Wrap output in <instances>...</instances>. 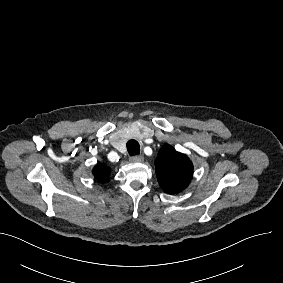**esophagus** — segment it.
<instances>
[{
  "instance_id": "esophagus-1",
  "label": "esophagus",
  "mask_w": 283,
  "mask_h": 283,
  "mask_svg": "<svg viewBox=\"0 0 283 283\" xmlns=\"http://www.w3.org/2000/svg\"><path fill=\"white\" fill-rule=\"evenodd\" d=\"M129 160H130L132 163L143 162V161H144V156H143V155L131 156V157L129 158Z\"/></svg>"
}]
</instances>
